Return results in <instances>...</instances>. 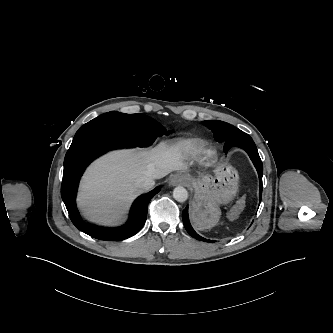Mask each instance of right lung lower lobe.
Instances as JSON below:
<instances>
[{
    "label": "right lung lower lobe",
    "instance_id": "98d812e1",
    "mask_svg": "<svg viewBox=\"0 0 333 333\" xmlns=\"http://www.w3.org/2000/svg\"><path fill=\"white\" fill-rule=\"evenodd\" d=\"M135 147V145L103 132H92L75 138L64 159V172L61 196L73 224L93 238L106 241H120L135 235L143 227L147 217L149 201L160 188L156 187L138 197L131 209L128 222L119 228L109 229L85 223L76 207V192L80 176L86 166L99 155L115 148Z\"/></svg>",
    "mask_w": 333,
    "mask_h": 333
}]
</instances>
